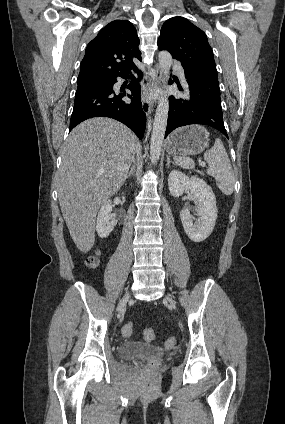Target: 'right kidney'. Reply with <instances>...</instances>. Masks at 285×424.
I'll list each match as a JSON object with an SVG mask.
<instances>
[{"label": "right kidney", "instance_id": "1", "mask_svg": "<svg viewBox=\"0 0 285 424\" xmlns=\"http://www.w3.org/2000/svg\"><path fill=\"white\" fill-rule=\"evenodd\" d=\"M111 211V200H106L101 206L96 223V231L100 238H107L117 224V220L111 214Z\"/></svg>", "mask_w": 285, "mask_h": 424}]
</instances>
